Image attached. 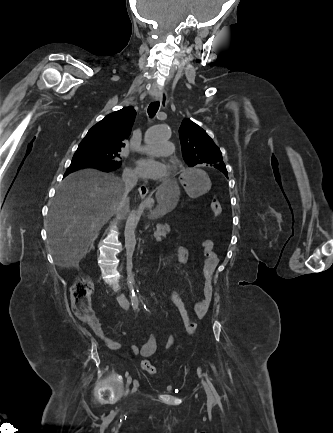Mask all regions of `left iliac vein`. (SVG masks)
<instances>
[{
  "mask_svg": "<svg viewBox=\"0 0 333 433\" xmlns=\"http://www.w3.org/2000/svg\"><path fill=\"white\" fill-rule=\"evenodd\" d=\"M202 384H203V387H204L207 395H211V390H210L208 384L204 380H202Z\"/></svg>",
  "mask_w": 333,
  "mask_h": 433,
  "instance_id": "left-iliac-vein-1",
  "label": "left iliac vein"
}]
</instances>
